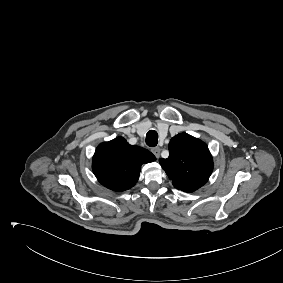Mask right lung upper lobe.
<instances>
[{"label":"right lung upper lobe","instance_id":"1","mask_svg":"<svg viewBox=\"0 0 283 283\" xmlns=\"http://www.w3.org/2000/svg\"><path fill=\"white\" fill-rule=\"evenodd\" d=\"M155 160L147 149L130 145L123 137H117L97 147L92 169L103 186L122 192L136 184L142 164Z\"/></svg>","mask_w":283,"mask_h":283}]
</instances>
